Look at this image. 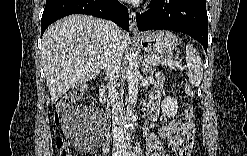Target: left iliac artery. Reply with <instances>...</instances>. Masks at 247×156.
<instances>
[{
  "mask_svg": "<svg viewBox=\"0 0 247 156\" xmlns=\"http://www.w3.org/2000/svg\"><path fill=\"white\" fill-rule=\"evenodd\" d=\"M137 153H138V155H141V156L143 155L139 143H137Z\"/></svg>",
  "mask_w": 247,
  "mask_h": 156,
  "instance_id": "obj_1",
  "label": "left iliac artery"
}]
</instances>
